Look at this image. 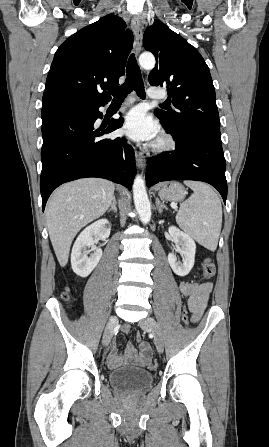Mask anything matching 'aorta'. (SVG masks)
Here are the masks:
<instances>
[{"mask_svg": "<svg viewBox=\"0 0 269 447\" xmlns=\"http://www.w3.org/2000/svg\"><path fill=\"white\" fill-rule=\"evenodd\" d=\"M139 64L144 70H153L155 66V58L153 54H150V52L141 54V56H139ZM133 198L135 208L142 224H148L151 220V208L142 176H136L134 180Z\"/></svg>", "mask_w": 269, "mask_h": 447, "instance_id": "762f6f07", "label": "aorta"}]
</instances>
